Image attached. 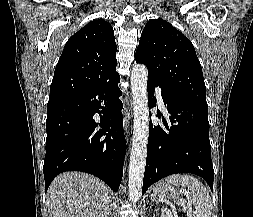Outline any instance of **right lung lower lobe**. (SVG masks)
Returning <instances> with one entry per match:
<instances>
[{"label": "right lung lower lobe", "instance_id": "obj_1", "mask_svg": "<svg viewBox=\"0 0 253 217\" xmlns=\"http://www.w3.org/2000/svg\"><path fill=\"white\" fill-rule=\"evenodd\" d=\"M117 72L93 87L47 104L45 187L65 171H82L117 191L126 142ZM99 113L100 121L94 119Z\"/></svg>", "mask_w": 253, "mask_h": 217}]
</instances>
